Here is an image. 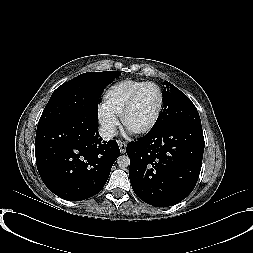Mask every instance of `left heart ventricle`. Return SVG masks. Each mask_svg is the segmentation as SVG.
Here are the masks:
<instances>
[{"instance_id":"left-heart-ventricle-1","label":"left heart ventricle","mask_w":253,"mask_h":253,"mask_svg":"<svg viewBox=\"0 0 253 253\" xmlns=\"http://www.w3.org/2000/svg\"><path fill=\"white\" fill-rule=\"evenodd\" d=\"M160 101L158 90L154 86L145 87L127 116L126 124L131 130L146 127L153 119Z\"/></svg>"}]
</instances>
